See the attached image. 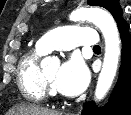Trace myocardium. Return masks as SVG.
<instances>
[{"label": "myocardium", "mask_w": 131, "mask_h": 115, "mask_svg": "<svg viewBox=\"0 0 131 115\" xmlns=\"http://www.w3.org/2000/svg\"><path fill=\"white\" fill-rule=\"evenodd\" d=\"M42 80H43V87H44V92H45L46 96L50 97V98H55L56 95L51 89L50 81L44 73H42Z\"/></svg>", "instance_id": "1"}]
</instances>
